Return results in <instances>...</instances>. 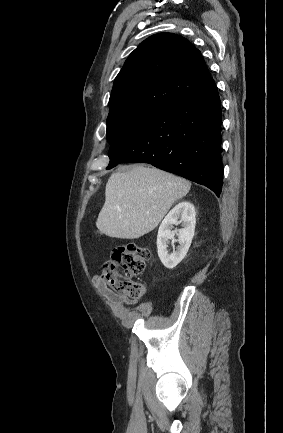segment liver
<instances>
[{
    "label": "liver",
    "mask_w": 283,
    "mask_h": 433,
    "mask_svg": "<svg viewBox=\"0 0 283 433\" xmlns=\"http://www.w3.org/2000/svg\"><path fill=\"white\" fill-rule=\"evenodd\" d=\"M190 186L185 178L143 164L127 172H113L105 186V202L96 227L107 237L139 239L161 223Z\"/></svg>",
    "instance_id": "obj_1"
}]
</instances>
